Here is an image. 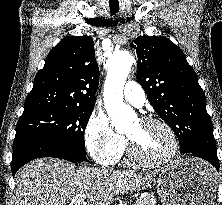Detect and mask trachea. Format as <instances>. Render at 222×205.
Wrapping results in <instances>:
<instances>
[{"instance_id": "3493384b", "label": "trachea", "mask_w": 222, "mask_h": 205, "mask_svg": "<svg viewBox=\"0 0 222 205\" xmlns=\"http://www.w3.org/2000/svg\"><path fill=\"white\" fill-rule=\"evenodd\" d=\"M110 11L112 14H115L119 11V7L118 6H110Z\"/></svg>"}]
</instances>
